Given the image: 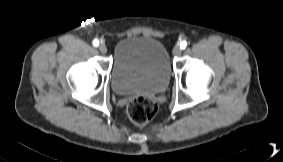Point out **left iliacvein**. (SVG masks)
I'll list each match as a JSON object with an SVG mask.
<instances>
[{
  "label": "left iliac vein",
  "mask_w": 283,
  "mask_h": 162,
  "mask_svg": "<svg viewBox=\"0 0 283 162\" xmlns=\"http://www.w3.org/2000/svg\"><path fill=\"white\" fill-rule=\"evenodd\" d=\"M182 52V49L179 45L174 46L172 53L174 56H180Z\"/></svg>",
  "instance_id": "left-iliac-vein-1"
}]
</instances>
